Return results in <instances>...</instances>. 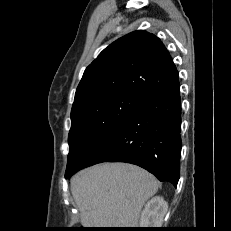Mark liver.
Segmentation results:
<instances>
[{
  "label": "liver",
  "mask_w": 231,
  "mask_h": 231,
  "mask_svg": "<svg viewBox=\"0 0 231 231\" xmlns=\"http://www.w3.org/2000/svg\"><path fill=\"white\" fill-rule=\"evenodd\" d=\"M156 178L127 163H103L78 172L71 191L86 228H136L145 202L158 191Z\"/></svg>",
  "instance_id": "obj_1"
}]
</instances>
